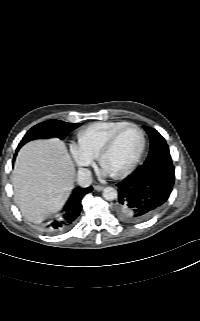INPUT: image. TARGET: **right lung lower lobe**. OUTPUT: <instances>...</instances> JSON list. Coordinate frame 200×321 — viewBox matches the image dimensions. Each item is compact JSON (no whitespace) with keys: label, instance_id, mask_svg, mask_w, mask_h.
Listing matches in <instances>:
<instances>
[{"label":"right lung lower lobe","instance_id":"98d812e1","mask_svg":"<svg viewBox=\"0 0 200 321\" xmlns=\"http://www.w3.org/2000/svg\"><path fill=\"white\" fill-rule=\"evenodd\" d=\"M92 191V187L76 188L73 190L68 202L64 207L62 216L50 223L47 228L51 233H58L71 227L82 209L81 200L84 195Z\"/></svg>","mask_w":200,"mask_h":321}]
</instances>
